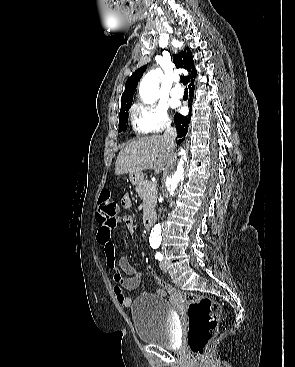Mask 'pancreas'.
I'll return each mask as SVG.
<instances>
[{
    "mask_svg": "<svg viewBox=\"0 0 295 367\" xmlns=\"http://www.w3.org/2000/svg\"><path fill=\"white\" fill-rule=\"evenodd\" d=\"M137 194L142 199L143 214L147 215L154 211L157 204V190L156 185L148 180H143L135 188Z\"/></svg>",
    "mask_w": 295,
    "mask_h": 367,
    "instance_id": "cf45deb5",
    "label": "pancreas"
}]
</instances>
